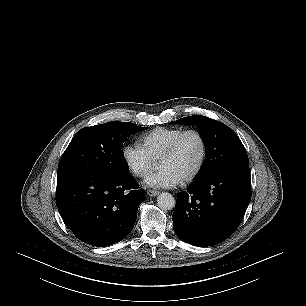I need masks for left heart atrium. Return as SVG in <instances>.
I'll list each match as a JSON object with an SVG mask.
<instances>
[{"label":"left heart atrium","instance_id":"obj_1","mask_svg":"<svg viewBox=\"0 0 306 306\" xmlns=\"http://www.w3.org/2000/svg\"><path fill=\"white\" fill-rule=\"evenodd\" d=\"M181 181V178L171 170L161 168L146 179L145 185L152 188H172L181 183Z\"/></svg>","mask_w":306,"mask_h":306}]
</instances>
